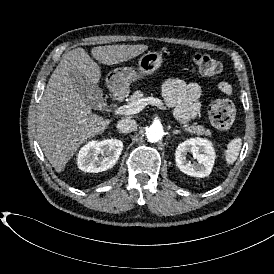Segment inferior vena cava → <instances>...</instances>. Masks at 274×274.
<instances>
[{
    "label": "inferior vena cava",
    "instance_id": "1",
    "mask_svg": "<svg viewBox=\"0 0 274 274\" xmlns=\"http://www.w3.org/2000/svg\"><path fill=\"white\" fill-rule=\"evenodd\" d=\"M116 128L120 133H129L136 128V122L130 118L119 120Z\"/></svg>",
    "mask_w": 274,
    "mask_h": 274
}]
</instances>
